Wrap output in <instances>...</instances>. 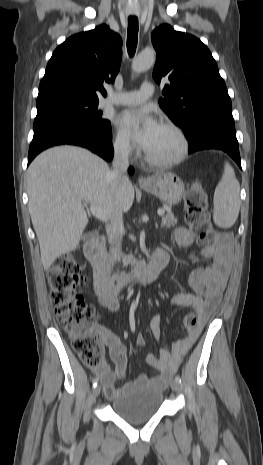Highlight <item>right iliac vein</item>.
<instances>
[{
    "instance_id": "1",
    "label": "right iliac vein",
    "mask_w": 263,
    "mask_h": 465,
    "mask_svg": "<svg viewBox=\"0 0 263 465\" xmlns=\"http://www.w3.org/2000/svg\"><path fill=\"white\" fill-rule=\"evenodd\" d=\"M101 391V387L98 385L93 389V394L95 397H98Z\"/></svg>"
}]
</instances>
